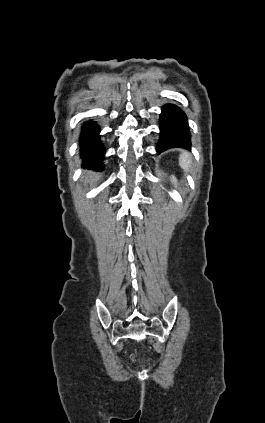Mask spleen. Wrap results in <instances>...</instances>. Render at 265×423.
<instances>
[{"label": "spleen", "instance_id": "3e777b00", "mask_svg": "<svg viewBox=\"0 0 265 423\" xmlns=\"http://www.w3.org/2000/svg\"><path fill=\"white\" fill-rule=\"evenodd\" d=\"M191 163H192L191 155L188 152L184 151L179 157V164L181 168L184 171L188 172L190 169Z\"/></svg>", "mask_w": 265, "mask_h": 423}]
</instances>
